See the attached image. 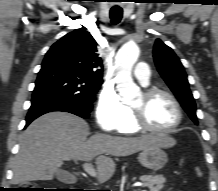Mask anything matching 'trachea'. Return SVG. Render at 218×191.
<instances>
[{
    "instance_id": "1",
    "label": "trachea",
    "mask_w": 218,
    "mask_h": 191,
    "mask_svg": "<svg viewBox=\"0 0 218 191\" xmlns=\"http://www.w3.org/2000/svg\"><path fill=\"white\" fill-rule=\"evenodd\" d=\"M122 15H123V11L122 9L119 8H112L110 10V18H111V22L116 25L118 24L121 19H122Z\"/></svg>"
}]
</instances>
